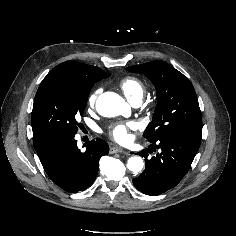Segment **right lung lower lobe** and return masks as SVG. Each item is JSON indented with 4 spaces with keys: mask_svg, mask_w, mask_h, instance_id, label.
<instances>
[{
    "mask_svg": "<svg viewBox=\"0 0 236 236\" xmlns=\"http://www.w3.org/2000/svg\"><path fill=\"white\" fill-rule=\"evenodd\" d=\"M75 135L41 134L33 136V144L49 178L69 193L90 187L97 175L100 158L108 154V144L97 138L81 151Z\"/></svg>",
    "mask_w": 236,
    "mask_h": 236,
    "instance_id": "98d812e1",
    "label": "right lung lower lobe"
}]
</instances>
